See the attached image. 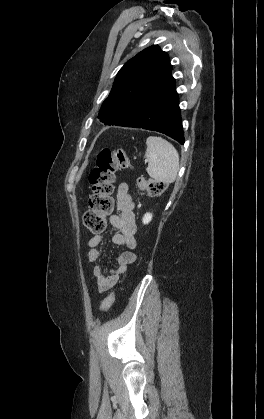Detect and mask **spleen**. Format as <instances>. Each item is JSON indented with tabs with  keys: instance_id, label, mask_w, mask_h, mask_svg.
I'll use <instances>...</instances> for the list:
<instances>
[{
	"instance_id": "3e777b00",
	"label": "spleen",
	"mask_w": 264,
	"mask_h": 419,
	"mask_svg": "<svg viewBox=\"0 0 264 419\" xmlns=\"http://www.w3.org/2000/svg\"><path fill=\"white\" fill-rule=\"evenodd\" d=\"M146 145L148 175L158 182L166 184L174 182L179 171V154L175 147L158 136H149Z\"/></svg>"
}]
</instances>
